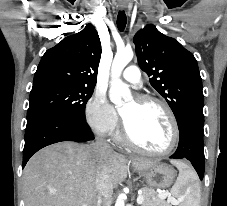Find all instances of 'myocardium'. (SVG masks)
Listing matches in <instances>:
<instances>
[{
    "mask_svg": "<svg viewBox=\"0 0 227 206\" xmlns=\"http://www.w3.org/2000/svg\"><path fill=\"white\" fill-rule=\"evenodd\" d=\"M135 100L141 105H148V104L157 105L165 111V113L167 114L169 121L171 123V127H172V140H171L170 145L164 150H161V151L148 150V149L142 147L141 145H139L132 138V136L130 135V133L127 129L124 119H123V126H122L123 140L131 148H133L134 150H136L140 153H143V154L153 155V156H164V155L171 153L177 147V145L179 143V139H180L179 124H178L177 118H176L173 110L171 109V107L164 100L157 98V97H152V96L142 95V96H138Z\"/></svg>",
    "mask_w": 227,
    "mask_h": 206,
    "instance_id": "1",
    "label": "myocardium"
}]
</instances>
